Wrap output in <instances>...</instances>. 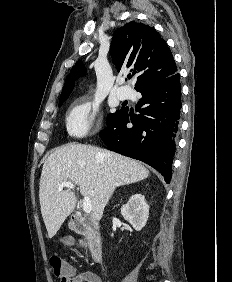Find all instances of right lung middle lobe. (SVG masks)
<instances>
[{
  "label": "right lung middle lobe",
  "instance_id": "right-lung-middle-lobe-1",
  "mask_svg": "<svg viewBox=\"0 0 232 282\" xmlns=\"http://www.w3.org/2000/svg\"><path fill=\"white\" fill-rule=\"evenodd\" d=\"M68 97L66 98H63V99H60L59 100V106L62 105V103L67 99ZM126 108L125 107H122L120 110H117L115 113H112V114H109L108 117H107V121L116 117L117 115L121 114Z\"/></svg>",
  "mask_w": 232,
  "mask_h": 282
}]
</instances>
